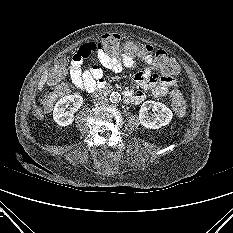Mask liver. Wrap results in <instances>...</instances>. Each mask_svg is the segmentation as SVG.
I'll return each instance as SVG.
<instances>
[{
    "instance_id": "obj_1",
    "label": "liver",
    "mask_w": 233,
    "mask_h": 233,
    "mask_svg": "<svg viewBox=\"0 0 233 233\" xmlns=\"http://www.w3.org/2000/svg\"><path fill=\"white\" fill-rule=\"evenodd\" d=\"M47 77H48V72L45 71V72L43 73V75L41 76V79H40L39 84H38L39 90H42V89H43L44 84H45L46 81H47Z\"/></svg>"
}]
</instances>
